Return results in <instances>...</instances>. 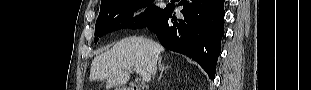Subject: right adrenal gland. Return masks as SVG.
<instances>
[{"label":"right adrenal gland","mask_w":311,"mask_h":90,"mask_svg":"<svg viewBox=\"0 0 311 90\" xmlns=\"http://www.w3.org/2000/svg\"><path fill=\"white\" fill-rule=\"evenodd\" d=\"M167 68H169V66H164V64L161 63V59H159V69H160V72H161V73H160V76H159V79H158V80L161 79L164 70L167 69Z\"/></svg>","instance_id":"1"}]
</instances>
